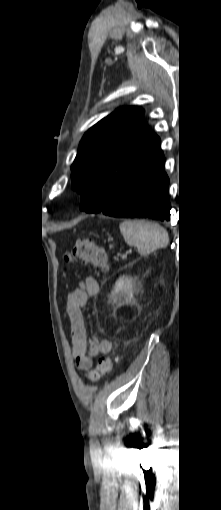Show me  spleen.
<instances>
[{
  "label": "spleen",
  "mask_w": 221,
  "mask_h": 510,
  "mask_svg": "<svg viewBox=\"0 0 221 510\" xmlns=\"http://www.w3.org/2000/svg\"><path fill=\"white\" fill-rule=\"evenodd\" d=\"M119 228L125 242L136 247L140 255H148L168 245V233L158 224L145 220H124Z\"/></svg>",
  "instance_id": "spleen-1"
}]
</instances>
